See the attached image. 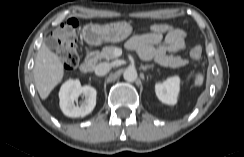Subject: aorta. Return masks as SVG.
Instances as JSON below:
<instances>
[{"instance_id":"1","label":"aorta","mask_w":244,"mask_h":157,"mask_svg":"<svg viewBox=\"0 0 244 157\" xmlns=\"http://www.w3.org/2000/svg\"><path fill=\"white\" fill-rule=\"evenodd\" d=\"M123 77L128 82H134L137 79V71L134 67H128L123 73Z\"/></svg>"}]
</instances>
